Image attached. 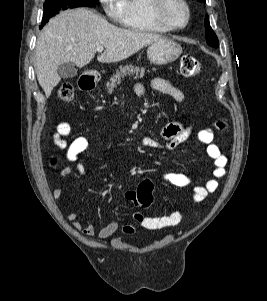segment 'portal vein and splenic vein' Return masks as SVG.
Masks as SVG:
<instances>
[{
    "instance_id": "18ae733b",
    "label": "portal vein and splenic vein",
    "mask_w": 267,
    "mask_h": 301,
    "mask_svg": "<svg viewBox=\"0 0 267 301\" xmlns=\"http://www.w3.org/2000/svg\"><path fill=\"white\" fill-rule=\"evenodd\" d=\"M96 50H97L98 52H102V51L104 50V48H103L102 46H98V47L96 48Z\"/></svg>"
}]
</instances>
